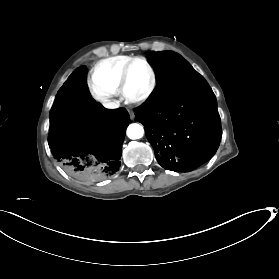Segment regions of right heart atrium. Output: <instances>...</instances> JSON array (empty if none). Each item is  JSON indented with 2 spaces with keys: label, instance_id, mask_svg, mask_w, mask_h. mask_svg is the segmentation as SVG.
<instances>
[{
  "label": "right heart atrium",
  "instance_id": "d8ad5b80",
  "mask_svg": "<svg viewBox=\"0 0 279 279\" xmlns=\"http://www.w3.org/2000/svg\"><path fill=\"white\" fill-rule=\"evenodd\" d=\"M91 91L93 97L101 103H106L111 98V94L99 86L92 85Z\"/></svg>",
  "mask_w": 279,
  "mask_h": 279
}]
</instances>
